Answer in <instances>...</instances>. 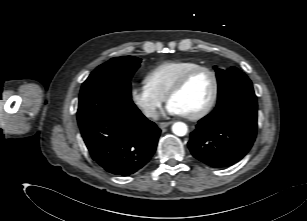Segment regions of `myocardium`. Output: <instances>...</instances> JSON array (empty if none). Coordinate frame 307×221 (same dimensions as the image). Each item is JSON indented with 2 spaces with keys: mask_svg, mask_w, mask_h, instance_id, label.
Returning a JSON list of instances; mask_svg holds the SVG:
<instances>
[{
  "mask_svg": "<svg viewBox=\"0 0 307 221\" xmlns=\"http://www.w3.org/2000/svg\"><path fill=\"white\" fill-rule=\"evenodd\" d=\"M199 71H207L211 74L213 79V91L210 100L201 110H199L194 114L183 115L185 118L189 120H199L208 115L211 112V110L214 108L219 96V89H220L219 76L216 70L213 69L212 67L205 65H199L197 67L188 70L179 77V79L172 85V87L165 96L166 101L169 103L170 99L173 96H175L177 93H179L185 87L190 78Z\"/></svg>",
  "mask_w": 307,
  "mask_h": 221,
  "instance_id": "1",
  "label": "myocardium"
}]
</instances>
